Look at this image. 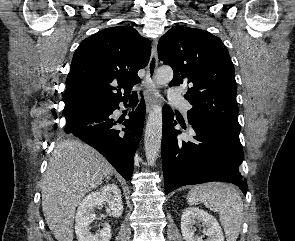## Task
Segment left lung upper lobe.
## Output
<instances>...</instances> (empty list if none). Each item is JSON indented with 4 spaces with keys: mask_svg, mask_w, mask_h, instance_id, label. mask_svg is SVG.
Wrapping results in <instances>:
<instances>
[{
    "mask_svg": "<svg viewBox=\"0 0 295 241\" xmlns=\"http://www.w3.org/2000/svg\"><path fill=\"white\" fill-rule=\"evenodd\" d=\"M158 57L174 71L170 86H190L184 96L193 106L187 113L190 122L240 133L234 65L220 38L175 26L160 38Z\"/></svg>",
    "mask_w": 295,
    "mask_h": 241,
    "instance_id": "obj_1",
    "label": "left lung upper lobe"
}]
</instances>
